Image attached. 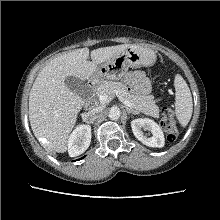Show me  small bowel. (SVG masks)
I'll return each instance as SVG.
<instances>
[{
	"instance_id": "small-bowel-1",
	"label": "small bowel",
	"mask_w": 220,
	"mask_h": 220,
	"mask_svg": "<svg viewBox=\"0 0 220 220\" xmlns=\"http://www.w3.org/2000/svg\"><path fill=\"white\" fill-rule=\"evenodd\" d=\"M130 84L141 94L149 91V81L141 72H135L129 77Z\"/></svg>"
}]
</instances>
